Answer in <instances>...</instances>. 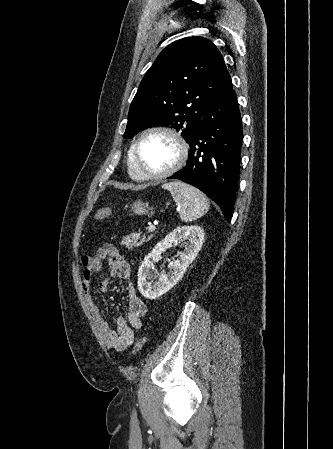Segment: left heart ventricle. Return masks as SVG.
<instances>
[{"mask_svg":"<svg viewBox=\"0 0 333 449\" xmlns=\"http://www.w3.org/2000/svg\"><path fill=\"white\" fill-rule=\"evenodd\" d=\"M176 156L175 143L162 134H151L145 137L139 149L140 164L145 173H157L169 168Z\"/></svg>","mask_w":333,"mask_h":449,"instance_id":"left-heart-ventricle-1","label":"left heart ventricle"}]
</instances>
